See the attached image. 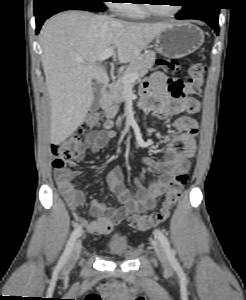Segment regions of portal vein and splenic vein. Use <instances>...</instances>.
I'll return each instance as SVG.
<instances>
[{
	"mask_svg": "<svg viewBox=\"0 0 246 300\" xmlns=\"http://www.w3.org/2000/svg\"><path fill=\"white\" fill-rule=\"evenodd\" d=\"M113 54H114V49L108 48L99 55L98 61L102 62V61L110 58L111 56H113ZM78 62L83 63L82 60H78ZM136 78H137V75H135V74H128V75H124L121 77V79L125 85H129L131 82L135 81Z\"/></svg>",
	"mask_w": 246,
	"mask_h": 300,
	"instance_id": "portal-vein-and-splenic-vein-1",
	"label": "portal vein and splenic vein"
}]
</instances>
